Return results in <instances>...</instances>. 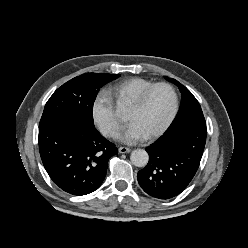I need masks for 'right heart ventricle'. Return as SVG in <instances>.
<instances>
[{"label":"right heart ventricle","instance_id":"right-heart-ventricle-1","mask_svg":"<svg viewBox=\"0 0 248 248\" xmlns=\"http://www.w3.org/2000/svg\"><path fill=\"white\" fill-rule=\"evenodd\" d=\"M152 84H154V82L151 80L141 77H132L115 83L109 88L108 93L115 98L120 105L129 107L140 93Z\"/></svg>","mask_w":248,"mask_h":248}]
</instances>
